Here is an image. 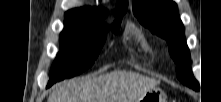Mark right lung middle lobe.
<instances>
[{"label":"right lung middle lobe","mask_w":221,"mask_h":102,"mask_svg":"<svg viewBox=\"0 0 221 102\" xmlns=\"http://www.w3.org/2000/svg\"><path fill=\"white\" fill-rule=\"evenodd\" d=\"M124 13L113 23L114 33L119 31ZM106 29L101 20L66 19L60 34L61 49L52 65L47 87L91 67L105 41Z\"/></svg>","instance_id":"dd1d6c3e"}]
</instances>
